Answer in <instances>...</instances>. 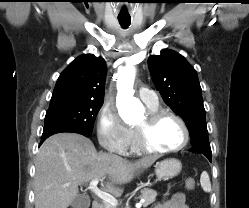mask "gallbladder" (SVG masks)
Returning a JSON list of instances; mask_svg holds the SVG:
<instances>
[{
  "label": "gallbladder",
  "mask_w": 249,
  "mask_h": 208,
  "mask_svg": "<svg viewBox=\"0 0 249 208\" xmlns=\"http://www.w3.org/2000/svg\"><path fill=\"white\" fill-rule=\"evenodd\" d=\"M90 199L87 195L79 194L71 203L72 208H89Z\"/></svg>",
  "instance_id": "obj_1"
}]
</instances>
